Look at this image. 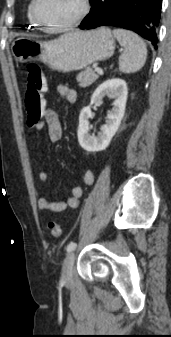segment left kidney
<instances>
[{"label":"left kidney","mask_w":171,"mask_h":337,"mask_svg":"<svg viewBox=\"0 0 171 337\" xmlns=\"http://www.w3.org/2000/svg\"><path fill=\"white\" fill-rule=\"evenodd\" d=\"M127 94V84L119 78L109 79L95 90L90 105L83 108L79 116L78 141L84 150L98 152L108 147L124 116ZM106 95L114 99L113 108L108 111L106 124L101 127V132L98 136H94L89 133V118L92 117L91 105L101 102Z\"/></svg>","instance_id":"obj_1"}]
</instances>
